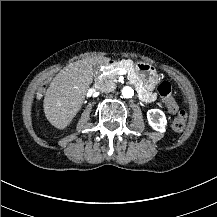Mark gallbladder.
Wrapping results in <instances>:
<instances>
[{
	"instance_id": "obj_1",
	"label": "gallbladder",
	"mask_w": 217,
	"mask_h": 217,
	"mask_svg": "<svg viewBox=\"0 0 217 217\" xmlns=\"http://www.w3.org/2000/svg\"><path fill=\"white\" fill-rule=\"evenodd\" d=\"M96 68H97V66H96V65H94V66H93V72H95V71H96Z\"/></svg>"
}]
</instances>
